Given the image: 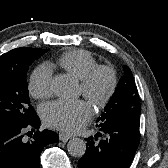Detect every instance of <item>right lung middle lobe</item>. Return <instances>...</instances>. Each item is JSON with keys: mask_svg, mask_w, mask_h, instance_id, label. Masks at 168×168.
<instances>
[{"mask_svg": "<svg viewBox=\"0 0 168 168\" xmlns=\"http://www.w3.org/2000/svg\"><path fill=\"white\" fill-rule=\"evenodd\" d=\"M47 49L23 47L0 61V122H29L37 116L30 105L26 74Z\"/></svg>", "mask_w": 168, "mask_h": 168, "instance_id": "dd1d6c3e", "label": "right lung middle lobe"}]
</instances>
